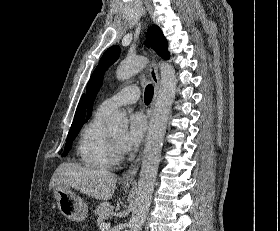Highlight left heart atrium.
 I'll return each mask as SVG.
<instances>
[{"mask_svg":"<svg viewBox=\"0 0 280 231\" xmlns=\"http://www.w3.org/2000/svg\"><path fill=\"white\" fill-rule=\"evenodd\" d=\"M146 131V122L140 114H134L129 119L128 128L118 140L119 149L126 153L136 148L142 141Z\"/></svg>","mask_w":280,"mask_h":231,"instance_id":"1","label":"left heart atrium"}]
</instances>
